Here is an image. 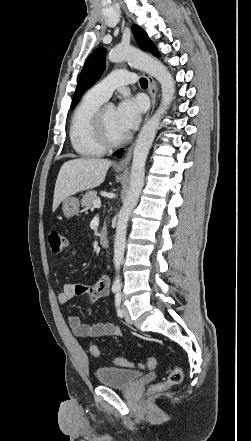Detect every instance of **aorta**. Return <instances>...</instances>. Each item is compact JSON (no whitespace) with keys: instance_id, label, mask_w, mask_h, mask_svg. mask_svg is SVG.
Masks as SVG:
<instances>
[{"instance_id":"1","label":"aorta","mask_w":251,"mask_h":441,"mask_svg":"<svg viewBox=\"0 0 251 441\" xmlns=\"http://www.w3.org/2000/svg\"><path fill=\"white\" fill-rule=\"evenodd\" d=\"M108 59L111 62L127 61L131 66L145 71L158 80L162 90L160 107L142 127L135 143L130 172V185L123 206L118 213L114 241V266L117 276L113 282V288L120 289L119 271L125 253L128 221L144 186L145 163L159 128L160 120L174 98L175 82L167 68L159 60L132 47H116L109 53Z\"/></svg>"}]
</instances>
